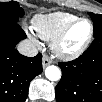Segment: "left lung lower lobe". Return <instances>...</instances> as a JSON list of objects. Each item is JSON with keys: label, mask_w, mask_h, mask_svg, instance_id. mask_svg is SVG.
<instances>
[{"label": "left lung lower lobe", "mask_w": 102, "mask_h": 102, "mask_svg": "<svg viewBox=\"0 0 102 102\" xmlns=\"http://www.w3.org/2000/svg\"><path fill=\"white\" fill-rule=\"evenodd\" d=\"M59 66L57 102H102V37L95 38L79 58Z\"/></svg>", "instance_id": "0a47b994"}]
</instances>
